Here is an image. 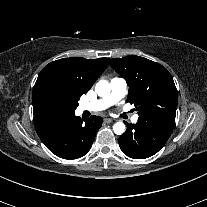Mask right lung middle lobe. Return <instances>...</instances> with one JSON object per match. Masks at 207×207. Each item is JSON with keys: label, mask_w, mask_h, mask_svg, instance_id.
I'll return each instance as SVG.
<instances>
[{"label": "right lung middle lobe", "mask_w": 207, "mask_h": 207, "mask_svg": "<svg viewBox=\"0 0 207 207\" xmlns=\"http://www.w3.org/2000/svg\"><path fill=\"white\" fill-rule=\"evenodd\" d=\"M39 109L46 115H67L74 113L78 99L68 95L53 83L45 84L37 96Z\"/></svg>", "instance_id": "dd1d6c3e"}]
</instances>
